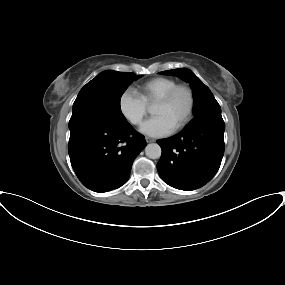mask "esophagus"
<instances>
[{
	"instance_id": "esophagus-1",
	"label": "esophagus",
	"mask_w": 285,
	"mask_h": 285,
	"mask_svg": "<svg viewBox=\"0 0 285 285\" xmlns=\"http://www.w3.org/2000/svg\"><path fill=\"white\" fill-rule=\"evenodd\" d=\"M145 139H146V142H147V143L155 142V139L150 138V137H145Z\"/></svg>"
}]
</instances>
